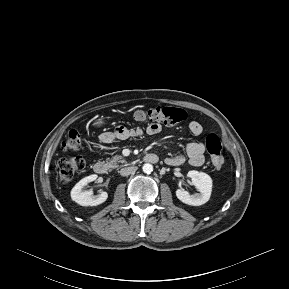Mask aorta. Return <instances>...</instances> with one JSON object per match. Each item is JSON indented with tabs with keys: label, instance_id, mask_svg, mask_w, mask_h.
<instances>
[{
	"label": "aorta",
	"instance_id": "1",
	"mask_svg": "<svg viewBox=\"0 0 289 289\" xmlns=\"http://www.w3.org/2000/svg\"><path fill=\"white\" fill-rule=\"evenodd\" d=\"M143 172L146 174H150L153 171V166L150 163H146L142 167Z\"/></svg>",
	"mask_w": 289,
	"mask_h": 289
}]
</instances>
